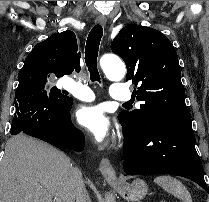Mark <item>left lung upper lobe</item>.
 <instances>
[{"instance_id": "5c2ea615", "label": "left lung upper lobe", "mask_w": 209, "mask_h": 202, "mask_svg": "<svg viewBox=\"0 0 209 202\" xmlns=\"http://www.w3.org/2000/svg\"><path fill=\"white\" fill-rule=\"evenodd\" d=\"M111 50L126 64V81L137 87L133 97L143 102L140 109L123 110L118 114L121 125L140 129L153 114L191 118L185 104L178 56L164 34L149 27L129 24L114 38Z\"/></svg>"}]
</instances>
